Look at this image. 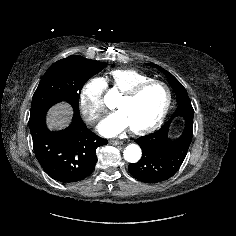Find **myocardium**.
<instances>
[{"instance_id": "1", "label": "myocardium", "mask_w": 236, "mask_h": 236, "mask_svg": "<svg viewBox=\"0 0 236 236\" xmlns=\"http://www.w3.org/2000/svg\"><path fill=\"white\" fill-rule=\"evenodd\" d=\"M154 84L161 85L165 88L166 93H167L166 103H165L160 115L153 123L149 124L148 126L142 127V128H130V131L133 134H136V135L148 134V133L154 131L155 129H157L162 124V122L164 121V119L167 116L168 111L171 107V103H172L171 89L168 86V84L165 83L164 81L158 80V79H151V80H148V81H145V82H142V83L136 85L131 90H129L126 93L121 94V96H120V100H122V101H132V100L136 99L146 88H148L149 86L154 85Z\"/></svg>"}]
</instances>
